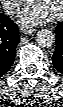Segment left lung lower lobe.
I'll use <instances>...</instances> for the list:
<instances>
[{"label": "left lung lower lobe", "instance_id": "1", "mask_svg": "<svg viewBox=\"0 0 63 107\" xmlns=\"http://www.w3.org/2000/svg\"><path fill=\"white\" fill-rule=\"evenodd\" d=\"M56 48L52 56L54 68L63 74V22L56 28Z\"/></svg>", "mask_w": 63, "mask_h": 107}]
</instances>
